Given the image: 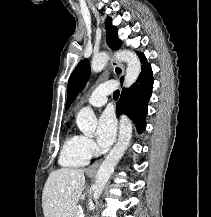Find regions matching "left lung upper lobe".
I'll list each match as a JSON object with an SVG mask.
<instances>
[{"instance_id":"5c2ea615","label":"left lung upper lobe","mask_w":211,"mask_h":217,"mask_svg":"<svg viewBox=\"0 0 211 217\" xmlns=\"http://www.w3.org/2000/svg\"><path fill=\"white\" fill-rule=\"evenodd\" d=\"M106 26V42L111 49L118 50L121 47V41L117 37V29L111 24V18L108 17L105 22ZM142 66H145L147 60L142 53H138ZM118 73L121 72L119 68L116 69ZM90 76V65L87 59L79 62L74 71L72 72L67 88V103L66 109L69 108L75 97L81 92L88 81ZM123 80V78H121Z\"/></svg>"}]
</instances>
